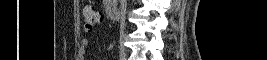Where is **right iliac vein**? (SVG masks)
<instances>
[{"label": "right iliac vein", "mask_w": 267, "mask_h": 60, "mask_svg": "<svg viewBox=\"0 0 267 60\" xmlns=\"http://www.w3.org/2000/svg\"><path fill=\"white\" fill-rule=\"evenodd\" d=\"M121 57H122L123 60H125L126 59V54L124 52H122L121 53Z\"/></svg>", "instance_id": "63e3f726"}]
</instances>
